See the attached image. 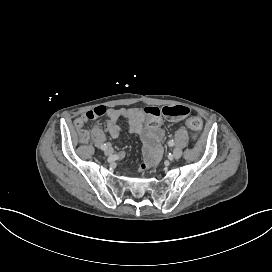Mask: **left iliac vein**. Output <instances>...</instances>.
Segmentation results:
<instances>
[{
  "instance_id": "obj_1",
  "label": "left iliac vein",
  "mask_w": 272,
  "mask_h": 272,
  "mask_svg": "<svg viewBox=\"0 0 272 272\" xmlns=\"http://www.w3.org/2000/svg\"><path fill=\"white\" fill-rule=\"evenodd\" d=\"M173 158L174 159H179L181 156H182V151H181V149H179V148H175L174 150H173Z\"/></svg>"
}]
</instances>
